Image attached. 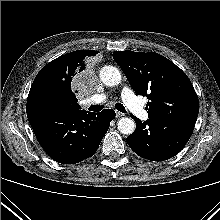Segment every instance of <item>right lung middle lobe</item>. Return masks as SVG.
<instances>
[{"instance_id": "1", "label": "right lung middle lobe", "mask_w": 220, "mask_h": 220, "mask_svg": "<svg viewBox=\"0 0 220 220\" xmlns=\"http://www.w3.org/2000/svg\"><path fill=\"white\" fill-rule=\"evenodd\" d=\"M35 103L67 108L62 96L52 90L39 91L35 96Z\"/></svg>"}]
</instances>
